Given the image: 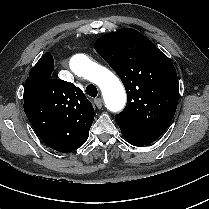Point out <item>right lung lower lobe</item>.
I'll list each match as a JSON object with an SVG mask.
<instances>
[{
	"mask_svg": "<svg viewBox=\"0 0 209 209\" xmlns=\"http://www.w3.org/2000/svg\"><path fill=\"white\" fill-rule=\"evenodd\" d=\"M38 136L52 149L67 153L72 152L71 147L65 143L57 142V138L53 136V130L41 129L33 127Z\"/></svg>",
	"mask_w": 209,
	"mask_h": 209,
	"instance_id": "1",
	"label": "right lung lower lobe"
}]
</instances>
